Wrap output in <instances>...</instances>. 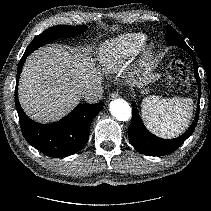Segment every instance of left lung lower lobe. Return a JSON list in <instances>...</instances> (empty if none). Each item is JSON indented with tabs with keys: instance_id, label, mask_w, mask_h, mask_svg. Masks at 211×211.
Returning <instances> with one entry per match:
<instances>
[{
	"instance_id": "obj_1",
	"label": "left lung lower lobe",
	"mask_w": 211,
	"mask_h": 211,
	"mask_svg": "<svg viewBox=\"0 0 211 211\" xmlns=\"http://www.w3.org/2000/svg\"><path fill=\"white\" fill-rule=\"evenodd\" d=\"M168 45H177L180 48L186 50L192 56L194 63V74L198 82V93H199L198 96L200 102V78L198 75V66L193 51L187 46V44L184 42L183 39L170 41ZM132 107H133L132 108L133 115L130 128L128 131L130 143L137 151L149 156H163L177 150L184 143V141L193 133L199 116V104H198L195 120L191 124L188 131H186V133H184L182 136L176 139L165 140L151 134L144 126V123L138 114L139 111L136 108V104L133 103Z\"/></svg>"
}]
</instances>
